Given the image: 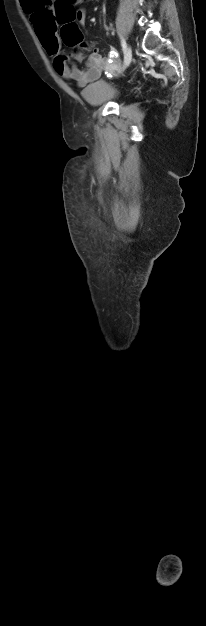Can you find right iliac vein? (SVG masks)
I'll list each match as a JSON object with an SVG mask.
<instances>
[{
    "label": "right iliac vein",
    "mask_w": 206,
    "mask_h": 626,
    "mask_svg": "<svg viewBox=\"0 0 206 626\" xmlns=\"http://www.w3.org/2000/svg\"><path fill=\"white\" fill-rule=\"evenodd\" d=\"M132 60V52H131V48L127 47L124 53V65L123 68H127L129 66V64L131 63Z\"/></svg>",
    "instance_id": "right-iliac-vein-1"
}]
</instances>
